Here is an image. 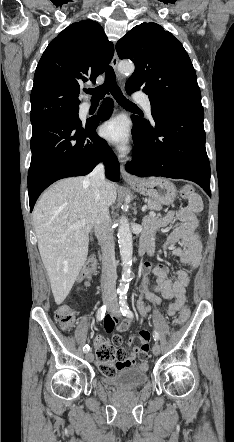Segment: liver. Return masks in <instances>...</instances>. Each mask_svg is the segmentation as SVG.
I'll use <instances>...</instances> for the list:
<instances>
[{"label":"liver","mask_w":234,"mask_h":442,"mask_svg":"<svg viewBox=\"0 0 234 442\" xmlns=\"http://www.w3.org/2000/svg\"><path fill=\"white\" fill-rule=\"evenodd\" d=\"M116 198L115 185L107 181L103 203L109 207ZM99 207L100 202L84 177L58 181L44 192L34 207L38 248L58 305L66 299L86 261L89 234ZM81 220H85L84 227L69 228L70 224Z\"/></svg>","instance_id":"liver-1"}]
</instances>
